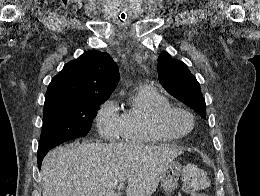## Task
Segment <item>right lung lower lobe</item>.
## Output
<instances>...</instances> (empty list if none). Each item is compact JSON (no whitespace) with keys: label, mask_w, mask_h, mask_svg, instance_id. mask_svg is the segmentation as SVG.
<instances>
[{"label":"right lung lower lobe","mask_w":260,"mask_h":196,"mask_svg":"<svg viewBox=\"0 0 260 196\" xmlns=\"http://www.w3.org/2000/svg\"><path fill=\"white\" fill-rule=\"evenodd\" d=\"M49 150H50V149H48V148L38 149V165H39V167L41 166V162H42L44 156L47 154V152H48Z\"/></svg>","instance_id":"obj_1"}]
</instances>
